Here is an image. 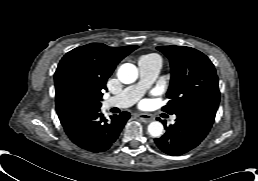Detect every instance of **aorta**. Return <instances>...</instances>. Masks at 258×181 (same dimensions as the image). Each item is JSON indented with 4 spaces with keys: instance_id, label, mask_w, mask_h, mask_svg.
<instances>
[{
    "instance_id": "obj_1",
    "label": "aorta",
    "mask_w": 258,
    "mask_h": 181,
    "mask_svg": "<svg viewBox=\"0 0 258 181\" xmlns=\"http://www.w3.org/2000/svg\"><path fill=\"white\" fill-rule=\"evenodd\" d=\"M118 79L124 84L134 83L138 78V69L131 63L122 64L117 71ZM163 125L158 121L148 125V132L153 137H160L163 134Z\"/></svg>"
}]
</instances>
